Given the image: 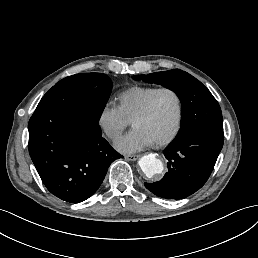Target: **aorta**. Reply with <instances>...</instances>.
I'll use <instances>...</instances> for the list:
<instances>
[{
  "label": "aorta",
  "instance_id": "aorta-1",
  "mask_svg": "<svg viewBox=\"0 0 258 258\" xmlns=\"http://www.w3.org/2000/svg\"><path fill=\"white\" fill-rule=\"evenodd\" d=\"M139 166L142 172L148 177L152 178L153 176L162 173L164 166L160 159H158L154 154H148L143 156L139 160Z\"/></svg>",
  "mask_w": 258,
  "mask_h": 258
}]
</instances>
